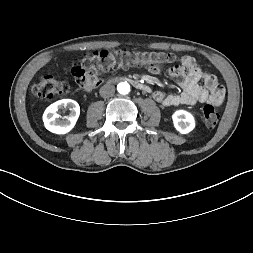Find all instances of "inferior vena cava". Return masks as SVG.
Listing matches in <instances>:
<instances>
[{"mask_svg":"<svg viewBox=\"0 0 253 253\" xmlns=\"http://www.w3.org/2000/svg\"><path fill=\"white\" fill-rule=\"evenodd\" d=\"M115 92V87L111 84H105L100 88L101 97L107 98L111 97Z\"/></svg>","mask_w":253,"mask_h":253,"instance_id":"1","label":"inferior vena cava"}]
</instances>
